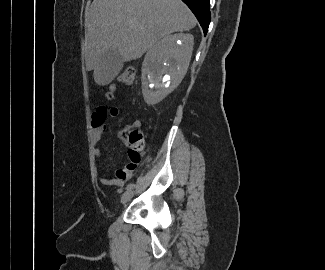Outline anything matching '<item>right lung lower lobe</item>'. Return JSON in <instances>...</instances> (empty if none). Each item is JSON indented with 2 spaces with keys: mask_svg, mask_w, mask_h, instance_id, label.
Listing matches in <instances>:
<instances>
[{
  "mask_svg": "<svg viewBox=\"0 0 325 270\" xmlns=\"http://www.w3.org/2000/svg\"><path fill=\"white\" fill-rule=\"evenodd\" d=\"M194 13L198 19L204 34L207 33L211 15H210V0H182Z\"/></svg>",
  "mask_w": 325,
  "mask_h": 270,
  "instance_id": "1",
  "label": "right lung lower lobe"
}]
</instances>
